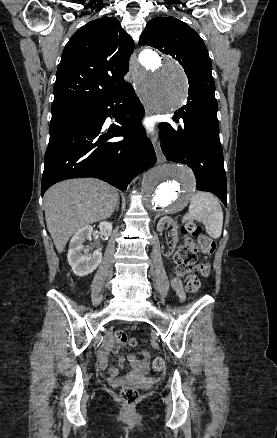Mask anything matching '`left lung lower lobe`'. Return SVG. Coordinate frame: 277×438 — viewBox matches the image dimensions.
Listing matches in <instances>:
<instances>
[{
	"label": "left lung lower lobe",
	"mask_w": 277,
	"mask_h": 438,
	"mask_svg": "<svg viewBox=\"0 0 277 438\" xmlns=\"http://www.w3.org/2000/svg\"><path fill=\"white\" fill-rule=\"evenodd\" d=\"M179 128L159 125L161 148L168 161L187 164L196 177V188L218 196L226 206V174L219 139L217 101L215 98H189L173 116Z\"/></svg>",
	"instance_id": "0a47b994"
}]
</instances>
